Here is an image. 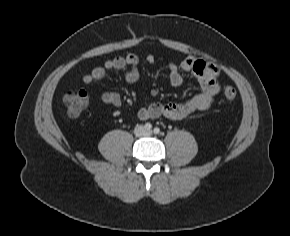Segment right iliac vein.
Wrapping results in <instances>:
<instances>
[{"label": "right iliac vein", "instance_id": "1", "mask_svg": "<svg viewBox=\"0 0 290 236\" xmlns=\"http://www.w3.org/2000/svg\"><path fill=\"white\" fill-rule=\"evenodd\" d=\"M142 131H143V128L142 127H138L136 130H135V132L136 133H142Z\"/></svg>", "mask_w": 290, "mask_h": 236}]
</instances>
